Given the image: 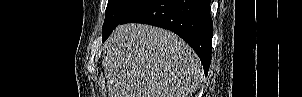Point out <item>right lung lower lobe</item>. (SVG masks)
Returning a JSON list of instances; mask_svg holds the SVG:
<instances>
[{
    "label": "right lung lower lobe",
    "instance_id": "right-lung-lower-lobe-1",
    "mask_svg": "<svg viewBox=\"0 0 302 97\" xmlns=\"http://www.w3.org/2000/svg\"><path fill=\"white\" fill-rule=\"evenodd\" d=\"M124 23H144L173 31L195 50L207 75L213 35L210 0H144L120 22Z\"/></svg>",
    "mask_w": 302,
    "mask_h": 97
}]
</instances>
